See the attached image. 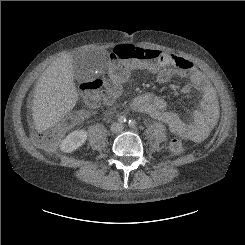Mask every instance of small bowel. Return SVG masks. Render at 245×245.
I'll return each instance as SVG.
<instances>
[{"label":"small bowel","mask_w":245,"mask_h":245,"mask_svg":"<svg viewBox=\"0 0 245 245\" xmlns=\"http://www.w3.org/2000/svg\"><path fill=\"white\" fill-rule=\"evenodd\" d=\"M144 52L145 61L136 64L132 70L154 74L159 84H167L175 76L187 78L190 83L181 89V93L189 94L193 89L197 90L200 93V108L193 114L191 122H187L181 115L169 110L162 97L153 93H144L132 101V109L164 122L174 134L183 139L195 142L205 139L218 121L216 93L206 76L184 56L164 53L156 49H145ZM158 63L163 66L157 67ZM55 75L63 80L70 76L68 72L63 71H57ZM130 81L131 77L128 76L126 82ZM124 82H119L114 91L101 94V105L111 107L119 96Z\"/></svg>","instance_id":"c3829d8e"}]
</instances>
